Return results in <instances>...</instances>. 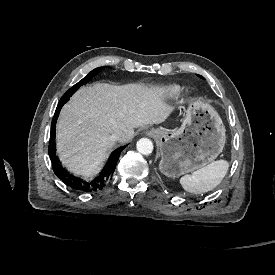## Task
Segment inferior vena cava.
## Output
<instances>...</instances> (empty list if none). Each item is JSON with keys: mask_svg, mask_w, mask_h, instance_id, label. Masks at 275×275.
<instances>
[{"mask_svg": "<svg viewBox=\"0 0 275 275\" xmlns=\"http://www.w3.org/2000/svg\"><path fill=\"white\" fill-rule=\"evenodd\" d=\"M121 136H122V131L118 130L112 133L109 138L111 141H118Z\"/></svg>", "mask_w": 275, "mask_h": 275, "instance_id": "602c4592", "label": "inferior vena cava"}]
</instances>
